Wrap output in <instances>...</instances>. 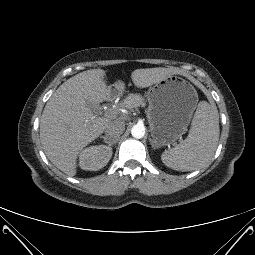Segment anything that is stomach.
<instances>
[{
	"instance_id": "stomach-1",
	"label": "stomach",
	"mask_w": 255,
	"mask_h": 255,
	"mask_svg": "<svg viewBox=\"0 0 255 255\" xmlns=\"http://www.w3.org/2000/svg\"><path fill=\"white\" fill-rule=\"evenodd\" d=\"M114 87L120 89L121 84ZM146 96L152 145L156 148L174 145L187 130L196 108V89L184 78L172 74L150 87Z\"/></svg>"
}]
</instances>
